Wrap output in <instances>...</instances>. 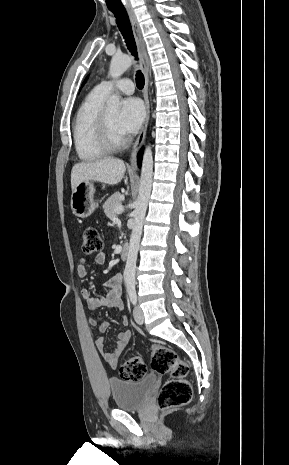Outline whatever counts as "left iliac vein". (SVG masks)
I'll return each mask as SVG.
<instances>
[{
    "instance_id": "obj_1",
    "label": "left iliac vein",
    "mask_w": 289,
    "mask_h": 465,
    "mask_svg": "<svg viewBox=\"0 0 289 465\" xmlns=\"http://www.w3.org/2000/svg\"><path fill=\"white\" fill-rule=\"evenodd\" d=\"M133 316L137 324L142 325L144 323V314L140 307L136 306L134 308Z\"/></svg>"
}]
</instances>
